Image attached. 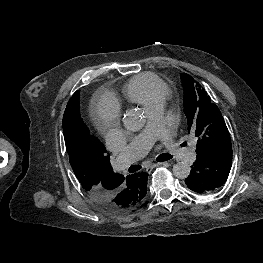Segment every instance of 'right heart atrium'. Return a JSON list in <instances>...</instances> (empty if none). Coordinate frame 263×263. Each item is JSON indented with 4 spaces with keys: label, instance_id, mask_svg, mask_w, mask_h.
<instances>
[{
    "label": "right heart atrium",
    "instance_id": "right-heart-atrium-1",
    "mask_svg": "<svg viewBox=\"0 0 263 263\" xmlns=\"http://www.w3.org/2000/svg\"><path fill=\"white\" fill-rule=\"evenodd\" d=\"M94 120L106 138H110L118 130L120 108L110 95H101L93 109Z\"/></svg>",
    "mask_w": 263,
    "mask_h": 263
}]
</instances>
